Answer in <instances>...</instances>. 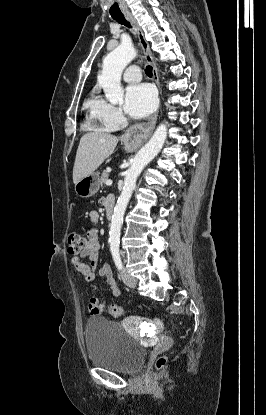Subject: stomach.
Wrapping results in <instances>:
<instances>
[{
    "label": "stomach",
    "mask_w": 266,
    "mask_h": 415,
    "mask_svg": "<svg viewBox=\"0 0 266 415\" xmlns=\"http://www.w3.org/2000/svg\"><path fill=\"white\" fill-rule=\"evenodd\" d=\"M134 145L129 141L125 142V149L131 151L134 149ZM100 187V178L97 173H92L82 178L77 184H75V192L81 198H89L93 196Z\"/></svg>",
    "instance_id": "1"
}]
</instances>
